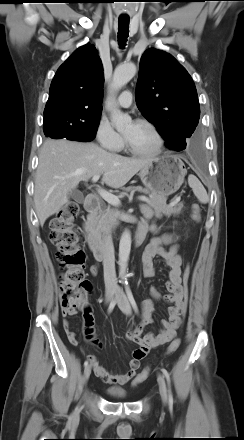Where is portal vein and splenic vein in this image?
<instances>
[{
    "instance_id": "obj_1",
    "label": "portal vein and splenic vein",
    "mask_w": 244,
    "mask_h": 440,
    "mask_svg": "<svg viewBox=\"0 0 244 440\" xmlns=\"http://www.w3.org/2000/svg\"><path fill=\"white\" fill-rule=\"evenodd\" d=\"M99 178H100V175H94L92 177V181L96 182V181L99 180ZM97 192L100 195V197L102 199H104L106 202H108L109 204H111L113 206H120L121 205V202H120L119 198L117 196L107 192L106 190L99 188L97 190ZM138 199L140 201L149 203V199L147 197H145V196H139ZM179 200H180V197H177L176 201H179Z\"/></svg>"
}]
</instances>
